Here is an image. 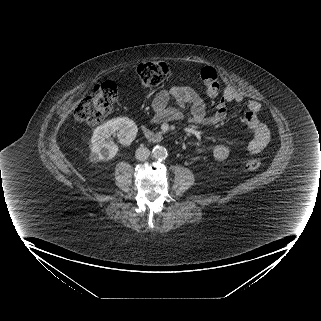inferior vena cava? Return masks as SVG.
<instances>
[{
    "label": "inferior vena cava",
    "instance_id": "obj_1",
    "mask_svg": "<svg viewBox=\"0 0 321 321\" xmlns=\"http://www.w3.org/2000/svg\"><path fill=\"white\" fill-rule=\"evenodd\" d=\"M136 159L139 161H145L150 156V150L146 147H140L135 152Z\"/></svg>",
    "mask_w": 321,
    "mask_h": 321
}]
</instances>
